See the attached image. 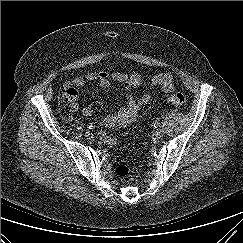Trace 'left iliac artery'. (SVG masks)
Listing matches in <instances>:
<instances>
[{"label":"left iliac artery","instance_id":"1","mask_svg":"<svg viewBox=\"0 0 243 243\" xmlns=\"http://www.w3.org/2000/svg\"><path fill=\"white\" fill-rule=\"evenodd\" d=\"M155 128H157L158 126H159V124L158 123H154V125H153Z\"/></svg>","mask_w":243,"mask_h":243}]
</instances>
